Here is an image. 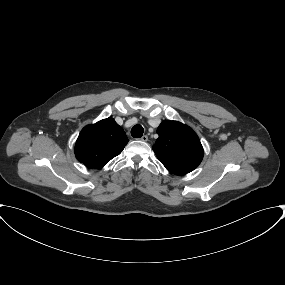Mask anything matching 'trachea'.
I'll return each instance as SVG.
<instances>
[{"label":"trachea","mask_w":285,"mask_h":285,"mask_svg":"<svg viewBox=\"0 0 285 285\" xmlns=\"http://www.w3.org/2000/svg\"><path fill=\"white\" fill-rule=\"evenodd\" d=\"M144 132V129L141 125H135L132 129H131V135L134 138H140L142 137Z\"/></svg>","instance_id":"trachea-1"}]
</instances>
